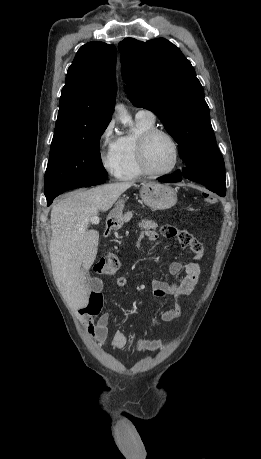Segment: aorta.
Returning a JSON list of instances; mask_svg holds the SVG:
<instances>
[{
	"instance_id": "aorta-1",
	"label": "aorta",
	"mask_w": 261,
	"mask_h": 459,
	"mask_svg": "<svg viewBox=\"0 0 261 459\" xmlns=\"http://www.w3.org/2000/svg\"><path fill=\"white\" fill-rule=\"evenodd\" d=\"M118 118L123 124H127L131 121V117L128 115L126 109L122 105L116 107Z\"/></svg>"
}]
</instances>
